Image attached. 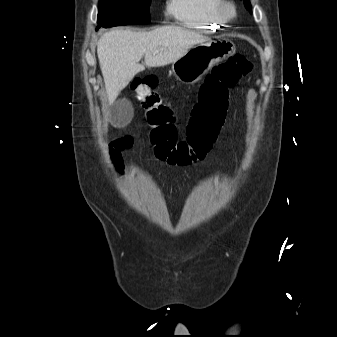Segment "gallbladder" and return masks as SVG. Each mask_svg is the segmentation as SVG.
<instances>
[{"label": "gallbladder", "mask_w": 337, "mask_h": 337, "mask_svg": "<svg viewBox=\"0 0 337 337\" xmlns=\"http://www.w3.org/2000/svg\"><path fill=\"white\" fill-rule=\"evenodd\" d=\"M133 116L131 103L126 99L117 100L111 107V124L116 127L127 125Z\"/></svg>", "instance_id": "obj_1"}]
</instances>
